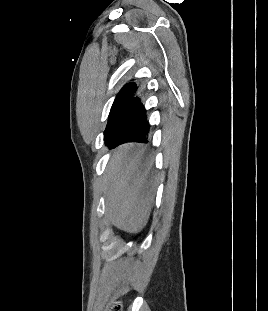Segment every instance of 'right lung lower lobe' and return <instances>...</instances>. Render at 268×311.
I'll list each match as a JSON object with an SVG mask.
<instances>
[{
    "mask_svg": "<svg viewBox=\"0 0 268 311\" xmlns=\"http://www.w3.org/2000/svg\"><path fill=\"white\" fill-rule=\"evenodd\" d=\"M149 131L145 107L134 93L122 116L104 136V140L110 148L126 142L147 143Z\"/></svg>",
    "mask_w": 268,
    "mask_h": 311,
    "instance_id": "obj_1",
    "label": "right lung lower lobe"
}]
</instances>
